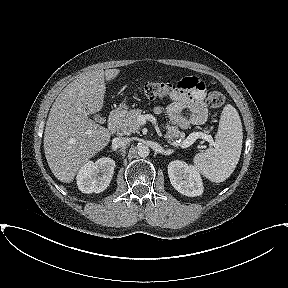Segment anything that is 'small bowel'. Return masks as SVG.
Returning a JSON list of instances; mask_svg holds the SVG:
<instances>
[{
    "label": "small bowel",
    "instance_id": "c3829d8e",
    "mask_svg": "<svg viewBox=\"0 0 288 288\" xmlns=\"http://www.w3.org/2000/svg\"><path fill=\"white\" fill-rule=\"evenodd\" d=\"M179 84V91L171 95V103L167 107L160 104L154 106V112L161 114L166 112L176 126L186 129L190 124L200 125L207 119V109L204 104L206 89L204 83L196 77L183 78ZM189 112V116H183L182 111Z\"/></svg>",
    "mask_w": 288,
    "mask_h": 288
}]
</instances>
